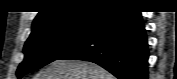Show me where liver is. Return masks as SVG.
<instances>
[{
    "instance_id": "1",
    "label": "liver",
    "mask_w": 177,
    "mask_h": 79,
    "mask_svg": "<svg viewBox=\"0 0 177 79\" xmlns=\"http://www.w3.org/2000/svg\"><path fill=\"white\" fill-rule=\"evenodd\" d=\"M34 79H113V76L92 62L56 60L42 68Z\"/></svg>"
}]
</instances>
